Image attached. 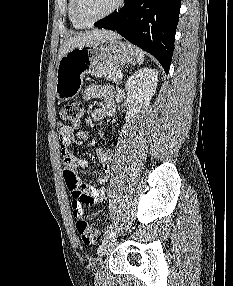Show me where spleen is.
<instances>
[{
	"label": "spleen",
	"mask_w": 233,
	"mask_h": 286,
	"mask_svg": "<svg viewBox=\"0 0 233 286\" xmlns=\"http://www.w3.org/2000/svg\"><path fill=\"white\" fill-rule=\"evenodd\" d=\"M136 59L138 64H142L144 62V52L140 49H136Z\"/></svg>",
	"instance_id": "3e777b00"
}]
</instances>
